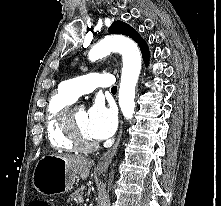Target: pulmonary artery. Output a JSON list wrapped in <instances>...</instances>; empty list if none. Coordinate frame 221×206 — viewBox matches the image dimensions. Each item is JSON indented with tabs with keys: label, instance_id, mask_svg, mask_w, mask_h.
<instances>
[{
	"label": "pulmonary artery",
	"instance_id": "obj_1",
	"mask_svg": "<svg viewBox=\"0 0 221 206\" xmlns=\"http://www.w3.org/2000/svg\"><path fill=\"white\" fill-rule=\"evenodd\" d=\"M115 78L111 74L89 73L62 83L63 90L76 100L82 94L90 93L98 87H112Z\"/></svg>",
	"mask_w": 221,
	"mask_h": 206
}]
</instances>
